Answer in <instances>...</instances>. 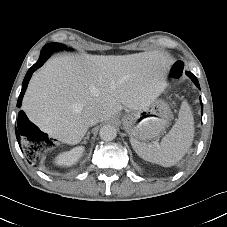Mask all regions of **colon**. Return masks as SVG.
<instances>
[{"mask_svg":"<svg viewBox=\"0 0 227 227\" xmlns=\"http://www.w3.org/2000/svg\"><path fill=\"white\" fill-rule=\"evenodd\" d=\"M183 73V64L180 61H176L171 64L169 69V78L170 80H176L181 77ZM33 144L40 145L42 149H48L51 147L52 142L45 134H38L35 138L32 139V143L27 146V154L30 158L36 156L35 146Z\"/></svg>","mask_w":227,"mask_h":227,"instance_id":"1","label":"colon"}]
</instances>
